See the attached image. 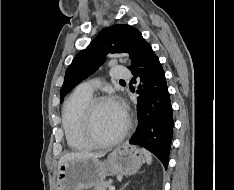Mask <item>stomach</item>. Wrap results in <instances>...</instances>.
Listing matches in <instances>:
<instances>
[{"mask_svg":"<svg viewBox=\"0 0 234 190\" xmlns=\"http://www.w3.org/2000/svg\"><path fill=\"white\" fill-rule=\"evenodd\" d=\"M143 161L142 151L127 143L112 150L105 161L97 158L66 161L58 167L57 190H87L104 182L108 175H132Z\"/></svg>","mask_w":234,"mask_h":190,"instance_id":"stomach-1","label":"stomach"}]
</instances>
